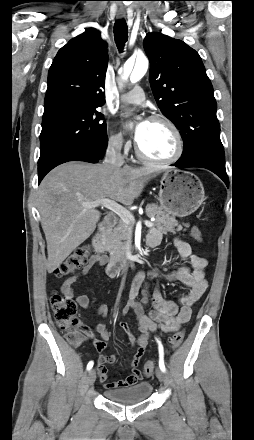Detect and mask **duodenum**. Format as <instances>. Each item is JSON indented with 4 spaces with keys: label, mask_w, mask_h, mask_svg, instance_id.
Segmentation results:
<instances>
[{
    "label": "duodenum",
    "mask_w": 254,
    "mask_h": 440,
    "mask_svg": "<svg viewBox=\"0 0 254 440\" xmlns=\"http://www.w3.org/2000/svg\"><path fill=\"white\" fill-rule=\"evenodd\" d=\"M117 223V218L115 215H107L104 221L99 225L97 233L92 239V246L95 252L102 255L105 252L104 246V236L112 229ZM133 264V258L129 254H125L120 257H114L110 259L107 265V274L111 277L116 276L121 271L129 268Z\"/></svg>",
    "instance_id": "1"
}]
</instances>
